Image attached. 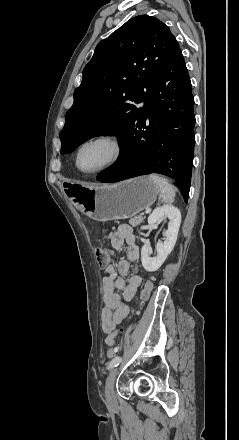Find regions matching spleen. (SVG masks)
I'll list each match as a JSON object with an SVG mask.
<instances>
[{"mask_svg":"<svg viewBox=\"0 0 239 440\" xmlns=\"http://www.w3.org/2000/svg\"><path fill=\"white\" fill-rule=\"evenodd\" d=\"M149 178L159 186L161 202H165V204H173L177 188L172 186V184H168V180L161 178L159 174H150Z\"/></svg>","mask_w":239,"mask_h":440,"instance_id":"obj_1","label":"spleen"}]
</instances>
